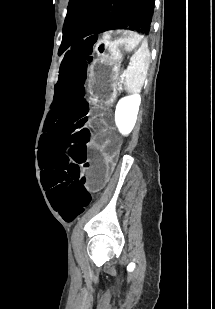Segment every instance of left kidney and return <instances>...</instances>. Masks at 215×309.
<instances>
[{
	"label": "left kidney",
	"mask_w": 215,
	"mask_h": 309,
	"mask_svg": "<svg viewBox=\"0 0 215 309\" xmlns=\"http://www.w3.org/2000/svg\"><path fill=\"white\" fill-rule=\"evenodd\" d=\"M141 102L140 94H131L120 98L115 108V122L121 134H129L135 126L139 106Z\"/></svg>",
	"instance_id": "5707ae66"
}]
</instances>
